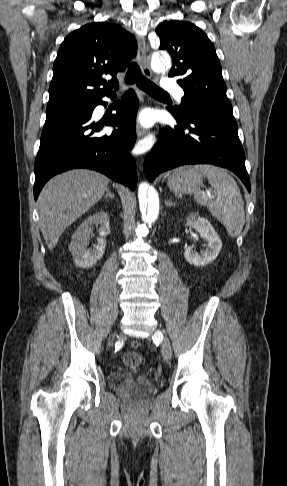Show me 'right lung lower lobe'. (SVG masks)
Returning <instances> with one entry per match:
<instances>
[{"label":"right lung lower lobe","mask_w":287,"mask_h":486,"mask_svg":"<svg viewBox=\"0 0 287 486\" xmlns=\"http://www.w3.org/2000/svg\"><path fill=\"white\" fill-rule=\"evenodd\" d=\"M99 104L106 106L98 99L87 105L83 115L44 125L34 165L35 200L52 176L74 168L96 170L131 189L136 188V166L129 150L136 140L138 99L130 90L115 107L117 113L106 125L119 126V129L111 135H97L105 124L92 120V112Z\"/></svg>","instance_id":"98d812e1"}]
</instances>
